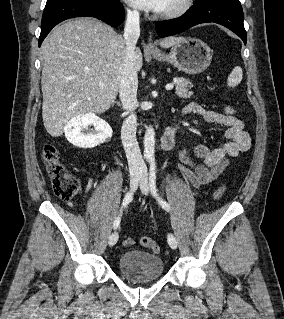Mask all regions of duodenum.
Returning a JSON list of instances; mask_svg holds the SVG:
<instances>
[{"label":"duodenum","mask_w":284,"mask_h":319,"mask_svg":"<svg viewBox=\"0 0 284 319\" xmlns=\"http://www.w3.org/2000/svg\"><path fill=\"white\" fill-rule=\"evenodd\" d=\"M177 129L173 126L164 131L161 135L160 143L161 147L165 150H169L175 143Z\"/></svg>","instance_id":"1"}]
</instances>
